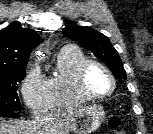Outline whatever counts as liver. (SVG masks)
Wrapping results in <instances>:
<instances>
[{
	"label": "liver",
	"mask_w": 153,
	"mask_h": 134,
	"mask_svg": "<svg viewBox=\"0 0 153 134\" xmlns=\"http://www.w3.org/2000/svg\"><path fill=\"white\" fill-rule=\"evenodd\" d=\"M81 108H69L33 120L18 121L0 118V134H68L76 114Z\"/></svg>",
	"instance_id": "obj_1"
}]
</instances>
